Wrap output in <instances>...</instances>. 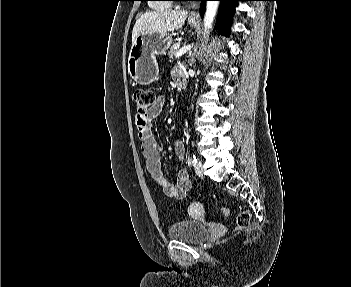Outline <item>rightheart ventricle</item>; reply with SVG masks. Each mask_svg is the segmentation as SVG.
Masks as SVG:
<instances>
[{
    "mask_svg": "<svg viewBox=\"0 0 351 287\" xmlns=\"http://www.w3.org/2000/svg\"><path fill=\"white\" fill-rule=\"evenodd\" d=\"M151 2H153V3H151L150 6L154 10H163V9L167 8V5L162 3L163 1H161V0H153Z\"/></svg>",
    "mask_w": 351,
    "mask_h": 287,
    "instance_id": "right-heart-ventricle-1",
    "label": "right heart ventricle"
}]
</instances>
